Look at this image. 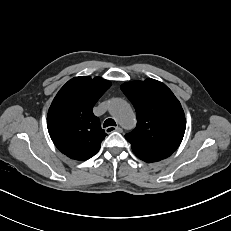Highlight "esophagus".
Here are the masks:
<instances>
[{"instance_id": "1", "label": "esophagus", "mask_w": 231, "mask_h": 231, "mask_svg": "<svg viewBox=\"0 0 231 231\" xmlns=\"http://www.w3.org/2000/svg\"><path fill=\"white\" fill-rule=\"evenodd\" d=\"M106 133H112L114 131L117 132H122V129L120 127H113V126H109L105 129Z\"/></svg>"}]
</instances>
